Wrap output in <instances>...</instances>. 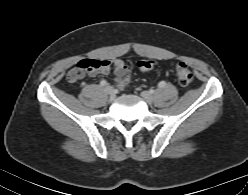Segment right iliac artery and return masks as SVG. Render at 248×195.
<instances>
[{"instance_id": "1", "label": "right iliac artery", "mask_w": 248, "mask_h": 195, "mask_svg": "<svg viewBox=\"0 0 248 195\" xmlns=\"http://www.w3.org/2000/svg\"><path fill=\"white\" fill-rule=\"evenodd\" d=\"M107 84V82L105 81V80H102L101 82H100V85L101 86H105Z\"/></svg>"}]
</instances>
